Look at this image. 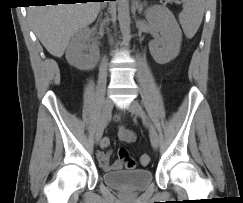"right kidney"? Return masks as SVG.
I'll use <instances>...</instances> for the list:
<instances>
[{
	"mask_svg": "<svg viewBox=\"0 0 243 203\" xmlns=\"http://www.w3.org/2000/svg\"><path fill=\"white\" fill-rule=\"evenodd\" d=\"M90 34L91 30L88 27L77 31L73 35L66 51L68 63L79 70L93 69L99 59V51L91 49L87 43Z\"/></svg>",
	"mask_w": 243,
	"mask_h": 203,
	"instance_id": "ca27d5eb",
	"label": "right kidney"
}]
</instances>
